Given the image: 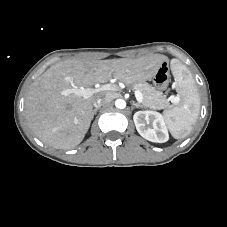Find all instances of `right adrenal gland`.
<instances>
[{
    "label": "right adrenal gland",
    "instance_id": "2a0ac1e0",
    "mask_svg": "<svg viewBox=\"0 0 227 227\" xmlns=\"http://www.w3.org/2000/svg\"><path fill=\"white\" fill-rule=\"evenodd\" d=\"M97 111H98V108H95V109L93 110V112H92L93 116H94V114H96Z\"/></svg>",
    "mask_w": 227,
    "mask_h": 227
}]
</instances>
